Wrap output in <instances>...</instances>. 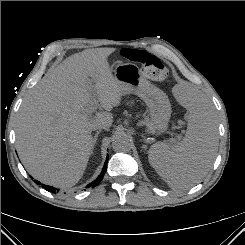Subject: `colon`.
<instances>
[{
  "mask_svg": "<svg viewBox=\"0 0 245 245\" xmlns=\"http://www.w3.org/2000/svg\"><path fill=\"white\" fill-rule=\"evenodd\" d=\"M122 55L129 61L141 64L143 73L152 80L163 81L168 77L167 67L157 56L136 49H125Z\"/></svg>",
  "mask_w": 245,
  "mask_h": 245,
  "instance_id": "5ec220e1",
  "label": "colon"
}]
</instances>
